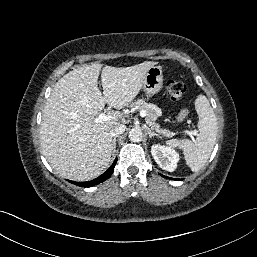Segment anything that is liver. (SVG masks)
Here are the masks:
<instances>
[{
    "instance_id": "obj_1",
    "label": "liver",
    "mask_w": 257,
    "mask_h": 257,
    "mask_svg": "<svg viewBox=\"0 0 257 257\" xmlns=\"http://www.w3.org/2000/svg\"><path fill=\"white\" fill-rule=\"evenodd\" d=\"M155 64L102 67L97 63L74 69L58 80L44 107L40 143L59 175L87 181L108 166L114 149L110 131L120 124V114L112 113L107 121L95 119L105 104L116 109L130 104ZM100 72L103 94L97 85Z\"/></svg>"
}]
</instances>
